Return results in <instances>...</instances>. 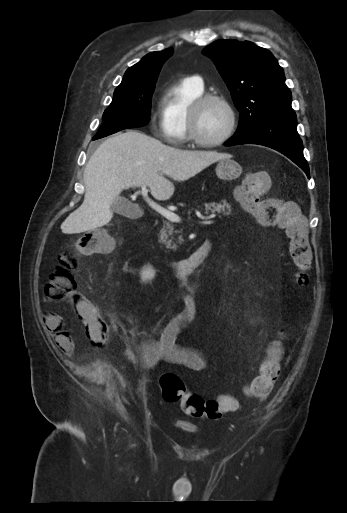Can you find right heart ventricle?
I'll return each instance as SVG.
<instances>
[{"instance_id": "right-heart-ventricle-1", "label": "right heart ventricle", "mask_w": 347, "mask_h": 513, "mask_svg": "<svg viewBox=\"0 0 347 513\" xmlns=\"http://www.w3.org/2000/svg\"><path fill=\"white\" fill-rule=\"evenodd\" d=\"M203 94L190 79H182L166 87L161 108L166 138L173 144L188 141L187 114L193 100Z\"/></svg>"}]
</instances>
